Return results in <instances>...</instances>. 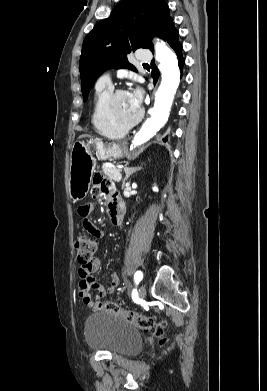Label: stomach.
<instances>
[{"mask_svg": "<svg viewBox=\"0 0 267 391\" xmlns=\"http://www.w3.org/2000/svg\"><path fill=\"white\" fill-rule=\"evenodd\" d=\"M93 151H96L99 160L118 159L123 156V148L119 144L104 145L99 140L75 142L70 155L68 183L70 197L75 202L82 200L89 191L96 167Z\"/></svg>", "mask_w": 267, "mask_h": 391, "instance_id": "stomach-1", "label": "stomach"}]
</instances>
